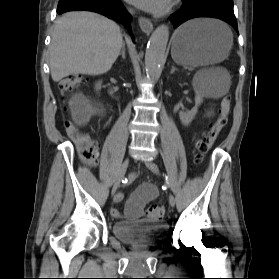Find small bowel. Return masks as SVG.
Instances as JSON below:
<instances>
[{"label": "small bowel", "mask_w": 279, "mask_h": 279, "mask_svg": "<svg viewBox=\"0 0 279 279\" xmlns=\"http://www.w3.org/2000/svg\"><path fill=\"white\" fill-rule=\"evenodd\" d=\"M73 117L80 123H86L89 118L95 113H101V110L91 104V102L84 96H76L70 101ZM212 112L209 111V115ZM133 178V176H132ZM157 196V189L153 184L144 183L140 185L129 197L125 205V217L129 219H136L142 215L144 206L152 201ZM120 196L117 197V200ZM111 214L115 218H121L122 212L113 208Z\"/></svg>", "instance_id": "small-bowel-1"}]
</instances>
